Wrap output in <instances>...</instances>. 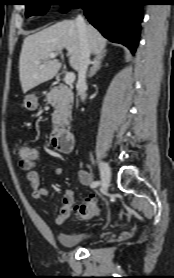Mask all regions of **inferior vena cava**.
<instances>
[{
	"label": "inferior vena cava",
	"instance_id": "inferior-vena-cava-1",
	"mask_svg": "<svg viewBox=\"0 0 174 278\" xmlns=\"http://www.w3.org/2000/svg\"><path fill=\"white\" fill-rule=\"evenodd\" d=\"M76 25L79 32L80 38V48H81V64L78 70V81L76 89L81 95V99L84 100L86 97V72L88 65L90 64V51L87 41V25L84 21V18L81 15H78L76 18Z\"/></svg>",
	"mask_w": 174,
	"mask_h": 278
}]
</instances>
